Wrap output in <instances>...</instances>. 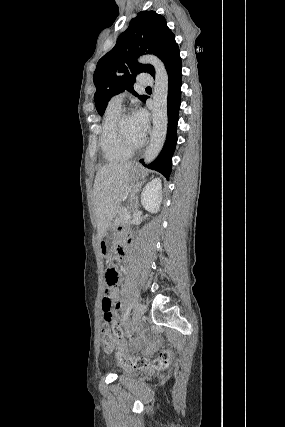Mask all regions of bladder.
Returning a JSON list of instances; mask_svg holds the SVG:
<instances>
[{"label": "bladder", "mask_w": 285, "mask_h": 427, "mask_svg": "<svg viewBox=\"0 0 285 427\" xmlns=\"http://www.w3.org/2000/svg\"><path fill=\"white\" fill-rule=\"evenodd\" d=\"M121 374V376H124L125 374H123V373H120ZM135 377H139V378H144L145 377V375L143 374V373H139V372H136V373H134L133 374Z\"/></svg>", "instance_id": "1"}]
</instances>
